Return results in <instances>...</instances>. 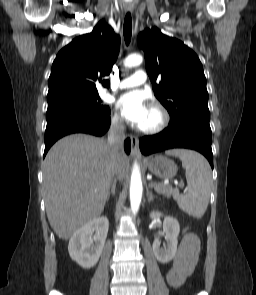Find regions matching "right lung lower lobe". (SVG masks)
Returning <instances> with one entry per match:
<instances>
[{
    "mask_svg": "<svg viewBox=\"0 0 256 295\" xmlns=\"http://www.w3.org/2000/svg\"><path fill=\"white\" fill-rule=\"evenodd\" d=\"M45 151L61 137L71 133H89L101 136L110 127V109L104 112H87L76 109H51L46 113ZM125 151L130 152V140H125Z\"/></svg>",
    "mask_w": 256,
    "mask_h": 295,
    "instance_id": "1",
    "label": "right lung lower lobe"
}]
</instances>
